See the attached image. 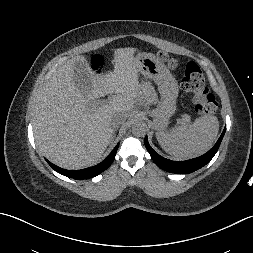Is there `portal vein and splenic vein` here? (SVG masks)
<instances>
[{"label":"portal vein and splenic vein","mask_w":253,"mask_h":253,"mask_svg":"<svg viewBox=\"0 0 253 253\" xmlns=\"http://www.w3.org/2000/svg\"><path fill=\"white\" fill-rule=\"evenodd\" d=\"M96 104L98 106H100L102 103L101 102H97ZM186 120H190V116L185 115L184 118L178 120V123H184Z\"/></svg>","instance_id":"1"}]
</instances>
